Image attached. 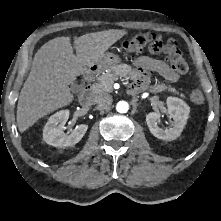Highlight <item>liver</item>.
Returning <instances> with one entry per match:
<instances>
[{"label":"liver","mask_w":221,"mask_h":221,"mask_svg":"<svg viewBox=\"0 0 221 221\" xmlns=\"http://www.w3.org/2000/svg\"><path fill=\"white\" fill-rule=\"evenodd\" d=\"M122 30H104L74 39L76 55L69 37H57L45 43L35 54L17 105V126L26 131L40 118L70 104L74 95L68 85L96 65L117 42Z\"/></svg>","instance_id":"6515ba94"}]
</instances>
